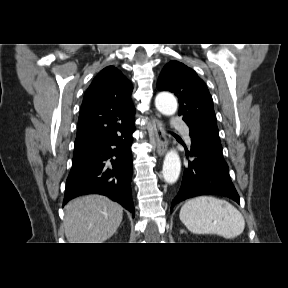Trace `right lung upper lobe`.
Returning a JSON list of instances; mask_svg holds the SVG:
<instances>
[{"label":"right lung upper lobe","mask_w":288,"mask_h":288,"mask_svg":"<svg viewBox=\"0 0 288 288\" xmlns=\"http://www.w3.org/2000/svg\"><path fill=\"white\" fill-rule=\"evenodd\" d=\"M131 93V82L114 66L99 72L83 98L73 157L90 151L134 124Z\"/></svg>","instance_id":"cb5924a9"}]
</instances>
